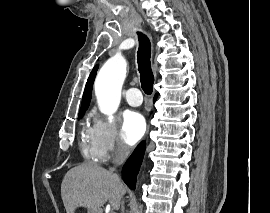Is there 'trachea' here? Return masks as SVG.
<instances>
[{
    "label": "trachea",
    "instance_id": "trachea-1",
    "mask_svg": "<svg viewBox=\"0 0 270 213\" xmlns=\"http://www.w3.org/2000/svg\"><path fill=\"white\" fill-rule=\"evenodd\" d=\"M150 56L151 43L146 35L139 33V49L137 52L138 70L140 72L141 87L147 95L152 93L154 84Z\"/></svg>",
    "mask_w": 270,
    "mask_h": 213
}]
</instances>
